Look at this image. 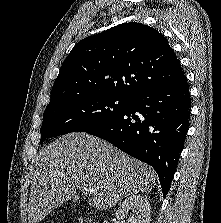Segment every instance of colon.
<instances>
[{
    "mask_svg": "<svg viewBox=\"0 0 221 223\" xmlns=\"http://www.w3.org/2000/svg\"><path fill=\"white\" fill-rule=\"evenodd\" d=\"M82 223H96V221L88 220V221H82Z\"/></svg>",
    "mask_w": 221,
    "mask_h": 223,
    "instance_id": "1",
    "label": "colon"
}]
</instances>
